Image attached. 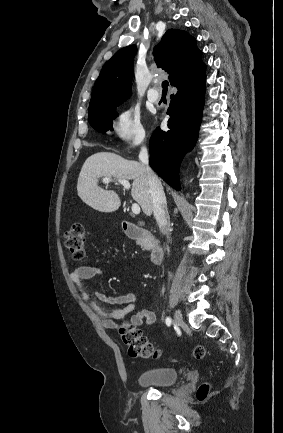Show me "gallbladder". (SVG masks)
Returning a JSON list of instances; mask_svg holds the SVG:
<instances>
[{
    "label": "gallbladder",
    "mask_w": 283,
    "mask_h": 433,
    "mask_svg": "<svg viewBox=\"0 0 283 433\" xmlns=\"http://www.w3.org/2000/svg\"><path fill=\"white\" fill-rule=\"evenodd\" d=\"M140 227H143L144 223H139Z\"/></svg>",
    "instance_id": "1"
}]
</instances>
